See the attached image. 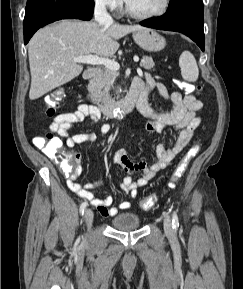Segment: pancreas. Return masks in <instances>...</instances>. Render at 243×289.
Returning a JSON list of instances; mask_svg holds the SVG:
<instances>
[{
	"mask_svg": "<svg viewBox=\"0 0 243 289\" xmlns=\"http://www.w3.org/2000/svg\"><path fill=\"white\" fill-rule=\"evenodd\" d=\"M140 66L146 70H151L154 68L155 63L151 57L143 56ZM117 77V71L104 68L90 81L88 90L96 102L105 103L110 100L109 92Z\"/></svg>",
	"mask_w": 243,
	"mask_h": 289,
	"instance_id": "1",
	"label": "pancreas"
}]
</instances>
